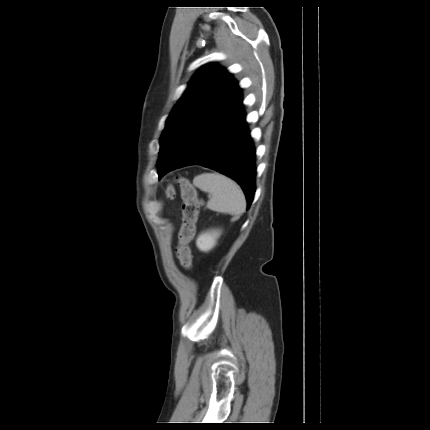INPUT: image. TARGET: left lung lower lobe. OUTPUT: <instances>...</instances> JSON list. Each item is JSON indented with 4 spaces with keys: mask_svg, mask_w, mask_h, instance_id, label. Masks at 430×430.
<instances>
[{
    "mask_svg": "<svg viewBox=\"0 0 430 430\" xmlns=\"http://www.w3.org/2000/svg\"><path fill=\"white\" fill-rule=\"evenodd\" d=\"M188 165H202L234 179L249 207L255 193L256 165L245 114L230 119L211 114L200 119L189 138L158 168L159 178Z\"/></svg>",
    "mask_w": 430,
    "mask_h": 430,
    "instance_id": "obj_1",
    "label": "left lung lower lobe"
}]
</instances>
